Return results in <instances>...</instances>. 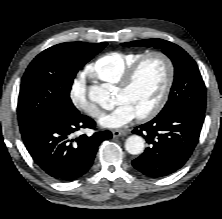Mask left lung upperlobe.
<instances>
[{"label":"left lung upper lobe","mask_w":222,"mask_h":219,"mask_svg":"<svg viewBox=\"0 0 222 219\" xmlns=\"http://www.w3.org/2000/svg\"><path fill=\"white\" fill-rule=\"evenodd\" d=\"M126 47H154L162 49L173 62L174 83L169 100L159 113L174 107H188L205 112L206 88L196 62L178 45L162 39H147L122 43Z\"/></svg>","instance_id":"5c2ea615"}]
</instances>
